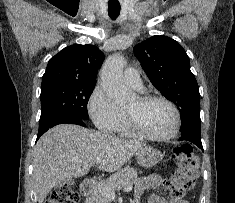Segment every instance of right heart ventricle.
I'll list each match as a JSON object with an SVG mask.
<instances>
[{"instance_id": "e07e8e85", "label": "right heart ventricle", "mask_w": 235, "mask_h": 203, "mask_svg": "<svg viewBox=\"0 0 235 203\" xmlns=\"http://www.w3.org/2000/svg\"><path fill=\"white\" fill-rule=\"evenodd\" d=\"M115 132H117L120 136H123V137L134 136V134L132 133V131L130 130V128L127 124L125 112H124V116H123L120 124L118 125L117 129L115 130Z\"/></svg>"}]
</instances>
